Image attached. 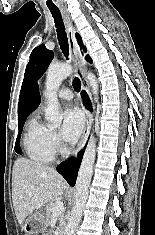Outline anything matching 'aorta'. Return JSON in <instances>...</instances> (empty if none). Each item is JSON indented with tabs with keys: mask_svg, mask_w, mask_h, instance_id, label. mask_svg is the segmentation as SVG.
<instances>
[{
	"mask_svg": "<svg viewBox=\"0 0 155 235\" xmlns=\"http://www.w3.org/2000/svg\"><path fill=\"white\" fill-rule=\"evenodd\" d=\"M72 71L73 68L69 64L51 65L47 71L45 92H44V97L47 103L45 118L53 126H59L62 121V116L59 111L57 90L61 82L66 77L70 76ZM86 79L88 80L92 88L93 94L97 96L98 83L95 75L88 72L86 74ZM95 157H96V139L93 136H91L78 172V177L76 181L75 203L71 210V215L68 224L65 228L64 235H74L75 229L80 222L83 208L88 198V189L93 174Z\"/></svg>",
	"mask_w": 155,
	"mask_h": 235,
	"instance_id": "1",
	"label": "aorta"
}]
</instances>
